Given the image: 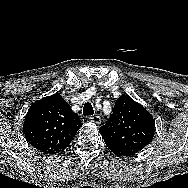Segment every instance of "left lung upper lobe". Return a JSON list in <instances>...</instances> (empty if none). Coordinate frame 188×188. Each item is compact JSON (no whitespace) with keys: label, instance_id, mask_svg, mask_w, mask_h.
<instances>
[{"label":"left lung upper lobe","instance_id":"1","mask_svg":"<svg viewBox=\"0 0 188 188\" xmlns=\"http://www.w3.org/2000/svg\"><path fill=\"white\" fill-rule=\"evenodd\" d=\"M155 124L152 115L127 95L117 99L113 114L99 128L107 147L121 156H132L153 139Z\"/></svg>","mask_w":188,"mask_h":188}]
</instances>
